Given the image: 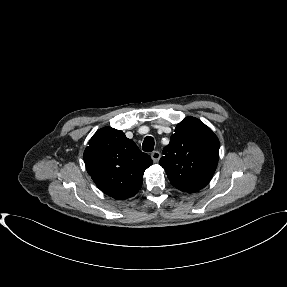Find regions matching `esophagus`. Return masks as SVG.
Instances as JSON below:
<instances>
[{
	"label": "esophagus",
	"instance_id": "esophagus-1",
	"mask_svg": "<svg viewBox=\"0 0 287 287\" xmlns=\"http://www.w3.org/2000/svg\"><path fill=\"white\" fill-rule=\"evenodd\" d=\"M151 157H152V160L155 163H157L159 161L160 157H161V154H160L159 151H154V152H152Z\"/></svg>",
	"mask_w": 287,
	"mask_h": 287
}]
</instances>
